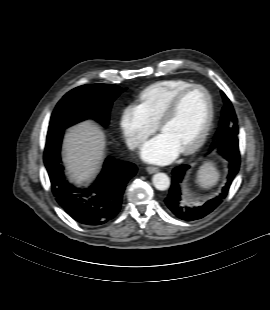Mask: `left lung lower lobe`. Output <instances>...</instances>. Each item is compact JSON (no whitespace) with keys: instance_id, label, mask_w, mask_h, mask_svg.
<instances>
[{"instance_id":"1","label":"left lung lower lobe","mask_w":270,"mask_h":310,"mask_svg":"<svg viewBox=\"0 0 270 310\" xmlns=\"http://www.w3.org/2000/svg\"><path fill=\"white\" fill-rule=\"evenodd\" d=\"M225 158L229 162V174L227 176V183L223 187L222 192L219 196L208 200L201 206L189 207L182 204L180 182L183 179L185 171L189 168L188 165H181L173 169L172 171V182L169 189V193L165 199L167 207L172 211L178 218L192 221L201 219L204 216L211 213L217 208L222 200L228 194L230 185L239 171L240 155L239 150L237 152H231L225 155Z\"/></svg>"}]
</instances>
